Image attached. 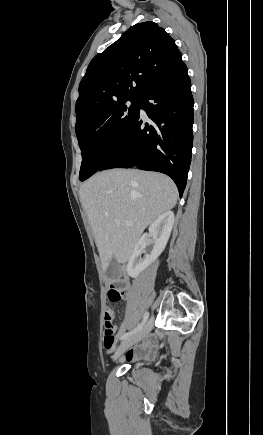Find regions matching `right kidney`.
I'll return each instance as SVG.
<instances>
[{"mask_svg": "<svg viewBox=\"0 0 263 435\" xmlns=\"http://www.w3.org/2000/svg\"><path fill=\"white\" fill-rule=\"evenodd\" d=\"M175 217L172 211L161 214L149 227V236L154 241L150 255H141L145 252L147 245V234L143 235L137 242L127 265V273L132 278H137L139 274L151 265L163 252L170 237Z\"/></svg>", "mask_w": 263, "mask_h": 435, "instance_id": "right-kidney-1", "label": "right kidney"}]
</instances>
